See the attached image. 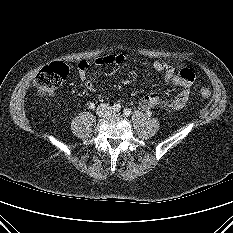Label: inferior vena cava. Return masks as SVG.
<instances>
[{"mask_svg": "<svg viewBox=\"0 0 233 233\" xmlns=\"http://www.w3.org/2000/svg\"><path fill=\"white\" fill-rule=\"evenodd\" d=\"M111 112V107L108 104H100L97 107V114L99 116H107Z\"/></svg>", "mask_w": 233, "mask_h": 233, "instance_id": "obj_1", "label": "inferior vena cava"}]
</instances>
